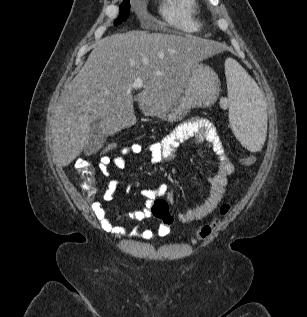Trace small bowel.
<instances>
[{"instance_id":"1","label":"small bowel","mask_w":307,"mask_h":317,"mask_svg":"<svg viewBox=\"0 0 307 317\" xmlns=\"http://www.w3.org/2000/svg\"><path fill=\"white\" fill-rule=\"evenodd\" d=\"M187 141H191L195 144L205 142L219 159L217 171L208 178L209 194L207 198L198 206L177 215V221L182 224L201 220L218 206L224 195L225 188L228 185L229 178L234 172V165L226 155L215 124L210 119L206 117H193L183 121L162 140L153 142L146 147L139 143H133L125 149L121 156L110 157L108 155H102L98 168L103 176L109 177L110 166L112 164L117 169L122 170L125 167V156L130 154L138 155L145 150L150 154V163L152 165L170 164L174 160L175 150ZM116 189L117 182L114 180L109 181L103 194V200L111 201ZM129 190L130 188L127 189V191ZM140 194L144 198L143 207L136 211L124 213V217L141 221L151 216V206L155 199L161 196H167L171 202L174 201L172 192L164 183H160L153 188L143 189ZM91 207L96 219L104 231L115 235H120L125 232L123 227L112 223L100 201L93 202ZM157 232L159 235L165 236L169 234L170 228L169 226L160 224ZM129 236L149 239L153 236V231L150 229L140 230L138 227H134L129 232Z\"/></svg>"}]
</instances>
